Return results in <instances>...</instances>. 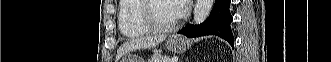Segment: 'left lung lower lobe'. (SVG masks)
<instances>
[{"label": "left lung lower lobe", "instance_id": "1", "mask_svg": "<svg viewBox=\"0 0 331 62\" xmlns=\"http://www.w3.org/2000/svg\"><path fill=\"white\" fill-rule=\"evenodd\" d=\"M231 0H215L214 7L209 17L200 25L185 26L178 33L187 37H201L205 35H217L225 39L230 45H234L230 24L232 16L229 11Z\"/></svg>", "mask_w": 331, "mask_h": 62}]
</instances>
